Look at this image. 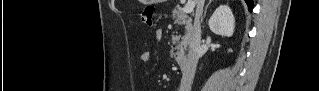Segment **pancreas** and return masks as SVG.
Returning <instances> with one entry per match:
<instances>
[{
	"label": "pancreas",
	"instance_id": "cf45deb5",
	"mask_svg": "<svg viewBox=\"0 0 319 91\" xmlns=\"http://www.w3.org/2000/svg\"><path fill=\"white\" fill-rule=\"evenodd\" d=\"M172 18L174 19V23L178 25H184L185 27V35L181 36H173L172 37V47L170 51V55L174 58L178 63H181L184 54L187 48V45L190 41L191 32H192V24L191 19L185 14L182 8L178 7L173 10ZM181 38V41H180Z\"/></svg>",
	"mask_w": 319,
	"mask_h": 91
}]
</instances>
